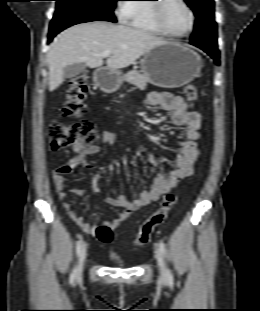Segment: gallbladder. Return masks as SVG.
<instances>
[{
    "label": "gallbladder",
    "instance_id": "bac80fb5",
    "mask_svg": "<svg viewBox=\"0 0 260 311\" xmlns=\"http://www.w3.org/2000/svg\"><path fill=\"white\" fill-rule=\"evenodd\" d=\"M86 71V65L84 63H76L65 67L64 77L73 78Z\"/></svg>",
    "mask_w": 260,
    "mask_h": 311
}]
</instances>
